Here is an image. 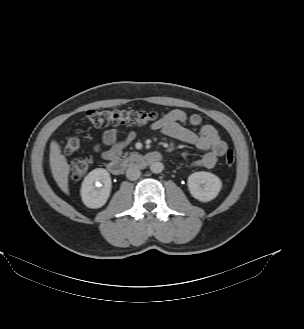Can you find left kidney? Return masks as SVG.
I'll use <instances>...</instances> for the list:
<instances>
[{
	"mask_svg": "<svg viewBox=\"0 0 304 329\" xmlns=\"http://www.w3.org/2000/svg\"><path fill=\"white\" fill-rule=\"evenodd\" d=\"M187 184L191 195L201 202H209L215 199L222 188L220 178L205 171L191 174L188 177Z\"/></svg>",
	"mask_w": 304,
	"mask_h": 329,
	"instance_id": "obj_1",
	"label": "left kidney"
}]
</instances>
